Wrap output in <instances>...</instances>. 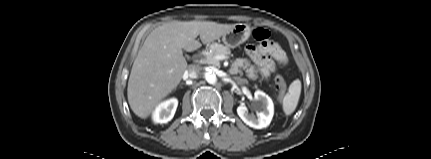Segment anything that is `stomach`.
Returning <instances> with one entry per match:
<instances>
[{
	"mask_svg": "<svg viewBox=\"0 0 431 159\" xmlns=\"http://www.w3.org/2000/svg\"><path fill=\"white\" fill-rule=\"evenodd\" d=\"M251 34V28L247 24H235L227 33L222 36L223 43L230 48H235L244 43Z\"/></svg>",
	"mask_w": 431,
	"mask_h": 159,
	"instance_id": "1",
	"label": "stomach"
}]
</instances>
